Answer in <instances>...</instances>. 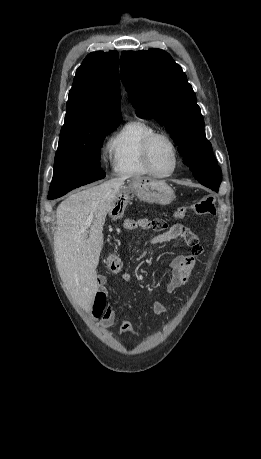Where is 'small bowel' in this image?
Segmentation results:
<instances>
[{
	"label": "small bowel",
	"mask_w": 261,
	"mask_h": 459,
	"mask_svg": "<svg viewBox=\"0 0 261 459\" xmlns=\"http://www.w3.org/2000/svg\"><path fill=\"white\" fill-rule=\"evenodd\" d=\"M125 227L129 230H146L150 228V224L147 219L140 218L127 220L125 222ZM178 238L184 239L191 247L192 252L189 255L177 256L170 262L171 278L166 286L167 293L175 292L177 289L181 288L188 282L195 267V257L201 254L202 247L198 238L187 227L181 224H175L171 226L167 231L155 235L150 239L152 244H162ZM121 281H131V275L129 273H123L121 275ZM104 282L105 278L100 277V285L98 291L96 292L95 300L99 297L103 300V312L98 316V318H100V326L106 328L113 325L116 320V314L110 306L106 305V291L103 287ZM151 307L154 314L158 316H162L167 312L166 307L158 300H154ZM120 329L123 334L133 337L137 336V332L134 330L132 324L125 317H123L120 321Z\"/></svg>",
	"instance_id": "obj_1"
}]
</instances>
